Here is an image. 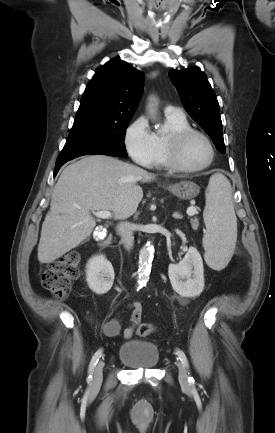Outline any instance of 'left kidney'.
Listing matches in <instances>:
<instances>
[{"label": "left kidney", "mask_w": 275, "mask_h": 433, "mask_svg": "<svg viewBox=\"0 0 275 433\" xmlns=\"http://www.w3.org/2000/svg\"><path fill=\"white\" fill-rule=\"evenodd\" d=\"M168 276L179 295L189 298L199 296L204 289V268L198 250L190 247L178 264H170Z\"/></svg>", "instance_id": "5707ae66"}]
</instances>
